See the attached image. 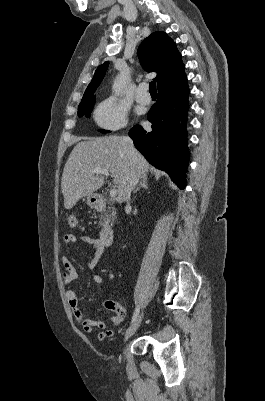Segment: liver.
Listing matches in <instances>:
<instances>
[{"mask_svg":"<svg viewBox=\"0 0 265 401\" xmlns=\"http://www.w3.org/2000/svg\"><path fill=\"white\" fill-rule=\"evenodd\" d=\"M81 142L74 146L64 166L61 188L65 209H72L79 198L92 196L104 184L102 174H94V168H106L118 184V201H125L124 188L131 174L136 172L140 178L147 176L149 164L134 146H128L124 136H99L88 138L80 136Z\"/></svg>","mask_w":265,"mask_h":401,"instance_id":"obj_1","label":"liver"}]
</instances>
